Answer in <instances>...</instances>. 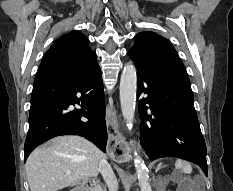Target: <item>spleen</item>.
Listing matches in <instances>:
<instances>
[{"label": "spleen", "instance_id": "spleen-1", "mask_svg": "<svg viewBox=\"0 0 233 191\" xmlns=\"http://www.w3.org/2000/svg\"><path fill=\"white\" fill-rule=\"evenodd\" d=\"M175 168L177 170H180L184 174H190L192 172V166L190 165V163L180 159L176 160Z\"/></svg>", "mask_w": 233, "mask_h": 191}]
</instances>
